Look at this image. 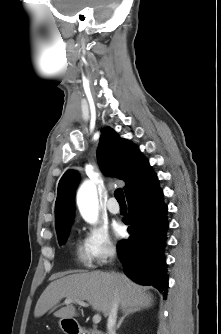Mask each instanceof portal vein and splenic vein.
I'll list each match as a JSON object with an SVG mask.
<instances>
[{
	"label": "portal vein and splenic vein",
	"instance_id": "obj_1",
	"mask_svg": "<svg viewBox=\"0 0 221 334\" xmlns=\"http://www.w3.org/2000/svg\"><path fill=\"white\" fill-rule=\"evenodd\" d=\"M71 302H73V300H71V299H66V300H65V303H66V304H69V303H71ZM75 302H76L77 304L83 306V307H88V304L85 303L84 301L75 300ZM101 319H102V317H101V315L98 314V313L95 314V315L93 316V322H94L95 324L99 323V322L101 321Z\"/></svg>",
	"mask_w": 221,
	"mask_h": 334
}]
</instances>
